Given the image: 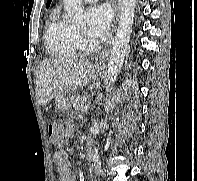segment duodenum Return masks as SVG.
<instances>
[{"label": "duodenum", "instance_id": "410a0bca", "mask_svg": "<svg viewBox=\"0 0 197 181\" xmlns=\"http://www.w3.org/2000/svg\"><path fill=\"white\" fill-rule=\"evenodd\" d=\"M86 149H87L88 154H91V151H92V144H91L90 138L87 139V142H86Z\"/></svg>", "mask_w": 197, "mask_h": 181}]
</instances>
